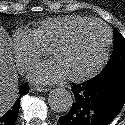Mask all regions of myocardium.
I'll use <instances>...</instances> for the list:
<instances>
[{
  "instance_id": "myocardium-1",
  "label": "myocardium",
  "mask_w": 125,
  "mask_h": 125,
  "mask_svg": "<svg viewBox=\"0 0 125 125\" xmlns=\"http://www.w3.org/2000/svg\"><path fill=\"white\" fill-rule=\"evenodd\" d=\"M91 24H97L100 25L105 33H106V42H105V47L103 50V53L99 59V61L96 63L95 66H93L91 69H89L88 71L79 74V75H74V76H68V78L71 81L74 82H82L85 81L89 78H92L93 76H95L96 74H98L103 67L106 65L108 59H109V55H110V50H111V46H112V42H113V34L112 31L110 29V27L105 24L104 22H102L101 20L98 19H88V20H84L82 22H79L78 24L73 25L72 27H70L66 32H64L59 38H57L52 45L50 46V54L53 55L54 51L62 46L63 44H65L66 42L69 41V39L82 27L87 26V25H91Z\"/></svg>"
}]
</instances>
